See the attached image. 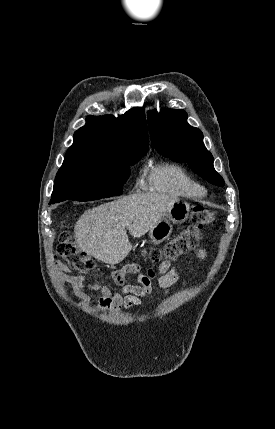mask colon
<instances>
[{"label": "colon", "instance_id": "1", "mask_svg": "<svg viewBox=\"0 0 275 429\" xmlns=\"http://www.w3.org/2000/svg\"><path fill=\"white\" fill-rule=\"evenodd\" d=\"M215 223L216 215L214 211L202 206H195L192 210L190 224L164 246L152 248L146 255L153 263H158L164 259L176 260L181 255L195 249L203 237V230L213 226ZM58 253L67 265L74 270L88 271L94 266L92 260L71 239L69 233L63 234Z\"/></svg>", "mask_w": 275, "mask_h": 429}]
</instances>
